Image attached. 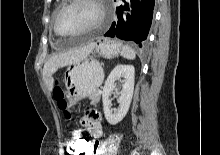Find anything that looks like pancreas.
Here are the masks:
<instances>
[{"instance_id":"pancreas-1","label":"pancreas","mask_w":220,"mask_h":155,"mask_svg":"<svg viewBox=\"0 0 220 155\" xmlns=\"http://www.w3.org/2000/svg\"><path fill=\"white\" fill-rule=\"evenodd\" d=\"M90 100H91V104L92 105H96L99 103L100 101V95L96 92L95 94H93L92 96H90Z\"/></svg>"}]
</instances>
